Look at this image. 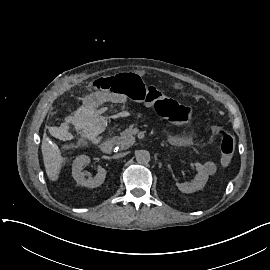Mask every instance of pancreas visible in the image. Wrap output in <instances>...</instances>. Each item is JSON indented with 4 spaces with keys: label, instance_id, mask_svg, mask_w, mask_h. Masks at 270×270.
I'll return each mask as SVG.
<instances>
[{
    "label": "pancreas",
    "instance_id": "1",
    "mask_svg": "<svg viewBox=\"0 0 270 270\" xmlns=\"http://www.w3.org/2000/svg\"><path fill=\"white\" fill-rule=\"evenodd\" d=\"M131 130V128H128L121 133L120 137H117V144L122 150L129 148L133 144L134 137L132 136Z\"/></svg>",
    "mask_w": 270,
    "mask_h": 270
}]
</instances>
